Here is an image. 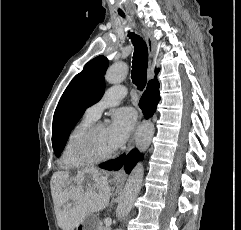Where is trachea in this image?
Instances as JSON below:
<instances>
[{
	"mask_svg": "<svg viewBox=\"0 0 241 230\" xmlns=\"http://www.w3.org/2000/svg\"><path fill=\"white\" fill-rule=\"evenodd\" d=\"M119 14L125 16L123 13ZM129 37L134 45L131 78L137 88L142 90L147 82L148 48L145 41L134 33H129Z\"/></svg>",
	"mask_w": 241,
	"mask_h": 230,
	"instance_id": "1",
	"label": "trachea"
}]
</instances>
